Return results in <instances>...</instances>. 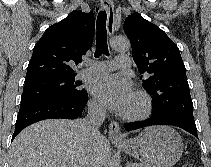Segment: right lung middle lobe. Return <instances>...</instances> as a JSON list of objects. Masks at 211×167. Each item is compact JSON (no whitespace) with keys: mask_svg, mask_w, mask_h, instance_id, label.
<instances>
[{"mask_svg":"<svg viewBox=\"0 0 211 167\" xmlns=\"http://www.w3.org/2000/svg\"><path fill=\"white\" fill-rule=\"evenodd\" d=\"M72 76H47L25 81L21 102L39 99H69L80 96L85 90Z\"/></svg>","mask_w":211,"mask_h":167,"instance_id":"dd1d6c3e","label":"right lung middle lobe"}]
</instances>
